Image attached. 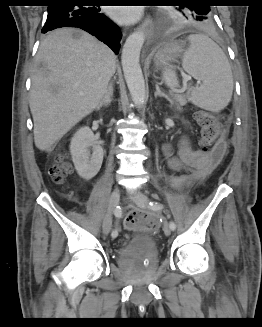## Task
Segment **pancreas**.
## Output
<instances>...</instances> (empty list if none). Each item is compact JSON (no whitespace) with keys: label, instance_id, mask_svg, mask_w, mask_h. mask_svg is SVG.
Returning a JSON list of instances; mask_svg holds the SVG:
<instances>
[{"label":"pancreas","instance_id":"obj_1","mask_svg":"<svg viewBox=\"0 0 262 327\" xmlns=\"http://www.w3.org/2000/svg\"><path fill=\"white\" fill-rule=\"evenodd\" d=\"M174 102L176 103L177 105V109H181L182 106H184L186 104V98L184 95H181V94H171Z\"/></svg>","mask_w":262,"mask_h":327}]
</instances>
